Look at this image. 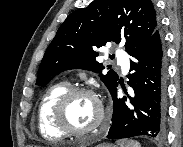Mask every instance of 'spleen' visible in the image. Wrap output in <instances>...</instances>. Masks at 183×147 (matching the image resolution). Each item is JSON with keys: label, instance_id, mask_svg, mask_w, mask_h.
Returning <instances> with one entry per match:
<instances>
[{"label": "spleen", "instance_id": "3e777b00", "mask_svg": "<svg viewBox=\"0 0 183 147\" xmlns=\"http://www.w3.org/2000/svg\"><path fill=\"white\" fill-rule=\"evenodd\" d=\"M119 147H141L140 143L134 140H120L117 141Z\"/></svg>", "mask_w": 183, "mask_h": 147}]
</instances>
